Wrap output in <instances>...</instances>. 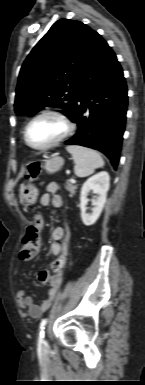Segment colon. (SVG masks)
Instances as JSON below:
<instances>
[{
  "instance_id": "colon-1",
  "label": "colon",
  "mask_w": 145,
  "mask_h": 385,
  "mask_svg": "<svg viewBox=\"0 0 145 385\" xmlns=\"http://www.w3.org/2000/svg\"><path fill=\"white\" fill-rule=\"evenodd\" d=\"M41 170L40 163L31 162L27 167L26 178L28 180L35 179ZM43 226V217L40 214H36L34 217V223L30 225L22 240V248L20 251V259L23 261L32 260L40 245V231ZM65 264V256H62L55 264L54 270L59 272L63 269Z\"/></svg>"
}]
</instances>
